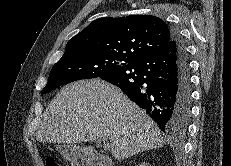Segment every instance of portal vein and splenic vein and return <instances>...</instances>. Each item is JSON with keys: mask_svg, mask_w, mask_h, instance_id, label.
I'll use <instances>...</instances> for the list:
<instances>
[{"mask_svg": "<svg viewBox=\"0 0 231 166\" xmlns=\"http://www.w3.org/2000/svg\"><path fill=\"white\" fill-rule=\"evenodd\" d=\"M98 141H99V143H102V144H103V148H104L105 150H108V149L110 148V143H109V141H108L107 138L102 137V138H100Z\"/></svg>", "mask_w": 231, "mask_h": 166, "instance_id": "portal-vein-and-splenic-vein-1", "label": "portal vein and splenic vein"}]
</instances>
